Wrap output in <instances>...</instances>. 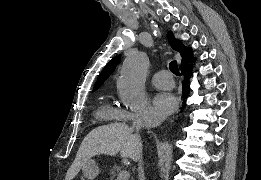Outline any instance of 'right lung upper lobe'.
<instances>
[{
	"instance_id": "1",
	"label": "right lung upper lobe",
	"mask_w": 261,
	"mask_h": 180,
	"mask_svg": "<svg viewBox=\"0 0 261 180\" xmlns=\"http://www.w3.org/2000/svg\"><path fill=\"white\" fill-rule=\"evenodd\" d=\"M167 37H168V41H169L171 47L181 54L182 64H183L182 67L186 66L188 64L189 60H192V50L185 47L180 40H176L173 37L172 32H168ZM119 59H120V56H116L111 61H109V63L106 65V67L103 69V71L98 76V79H97V82L95 83L93 91L97 90L103 84V82L111 75V73L114 71Z\"/></svg>"
}]
</instances>
